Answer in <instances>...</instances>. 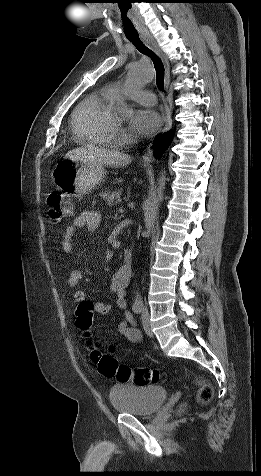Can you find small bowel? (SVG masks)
<instances>
[{
	"label": "small bowel",
	"instance_id": "small-bowel-1",
	"mask_svg": "<svg viewBox=\"0 0 261 476\" xmlns=\"http://www.w3.org/2000/svg\"><path fill=\"white\" fill-rule=\"evenodd\" d=\"M100 220L101 216L97 212H82L74 219L72 224L65 228L61 241V249L65 253H70L73 249L72 240L75 237L77 231L81 228H85L89 232H92L98 227ZM129 278L130 275H128L122 267L119 268L112 276L110 291L115 297L116 307L124 311L123 319L118 325V331L120 335L133 343H140L142 340V335L135 327L134 318L125 311L127 308L126 287L128 285ZM81 279V271L78 269H73L68 275L67 285L70 287H77ZM73 299L78 303L88 301L85 293L82 291H76L73 294ZM93 307L95 311L101 315H109L112 310V305L104 302H97L93 305Z\"/></svg>",
	"mask_w": 261,
	"mask_h": 476
}]
</instances>
